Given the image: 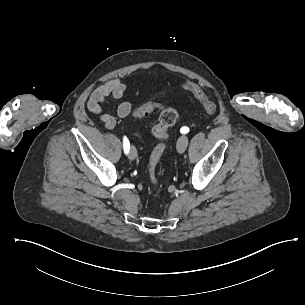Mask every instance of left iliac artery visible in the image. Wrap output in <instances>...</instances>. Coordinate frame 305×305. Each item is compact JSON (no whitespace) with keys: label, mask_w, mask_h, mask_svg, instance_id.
<instances>
[{"label":"left iliac artery","mask_w":305,"mask_h":305,"mask_svg":"<svg viewBox=\"0 0 305 305\" xmlns=\"http://www.w3.org/2000/svg\"><path fill=\"white\" fill-rule=\"evenodd\" d=\"M181 133H183V134H186V133H188L189 132V128L188 127H186V126H184V127H182L181 128Z\"/></svg>","instance_id":"44dca946"}]
</instances>
